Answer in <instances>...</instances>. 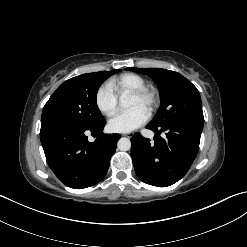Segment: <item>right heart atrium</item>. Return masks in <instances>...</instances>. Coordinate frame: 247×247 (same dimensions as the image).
<instances>
[{"mask_svg": "<svg viewBox=\"0 0 247 247\" xmlns=\"http://www.w3.org/2000/svg\"><path fill=\"white\" fill-rule=\"evenodd\" d=\"M98 110L105 116H112L118 104V97L109 85L101 86L95 95Z\"/></svg>", "mask_w": 247, "mask_h": 247, "instance_id": "obj_1", "label": "right heart atrium"}]
</instances>
